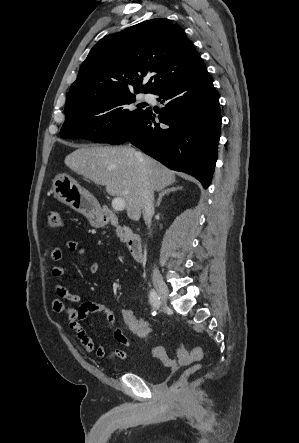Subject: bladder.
I'll return each mask as SVG.
<instances>
[{"mask_svg":"<svg viewBox=\"0 0 299 443\" xmlns=\"http://www.w3.org/2000/svg\"><path fill=\"white\" fill-rule=\"evenodd\" d=\"M131 368H132L133 373L139 375L140 377H142L143 379H145L147 381H155L156 379L163 377V375H157L150 370L141 369V368L136 367L135 365H132Z\"/></svg>","mask_w":299,"mask_h":443,"instance_id":"bladder-1","label":"bladder"}]
</instances>
